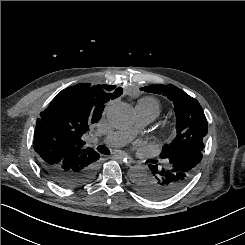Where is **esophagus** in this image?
Masks as SVG:
<instances>
[{
  "label": "esophagus",
  "mask_w": 245,
  "mask_h": 245,
  "mask_svg": "<svg viewBox=\"0 0 245 245\" xmlns=\"http://www.w3.org/2000/svg\"><path fill=\"white\" fill-rule=\"evenodd\" d=\"M115 157L117 159L123 160V162L127 165H130L134 162L133 159L126 154H116Z\"/></svg>",
  "instance_id": "34e87169"
}]
</instances>
